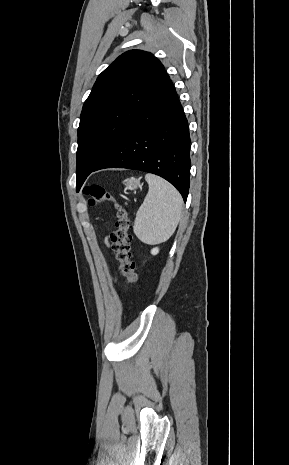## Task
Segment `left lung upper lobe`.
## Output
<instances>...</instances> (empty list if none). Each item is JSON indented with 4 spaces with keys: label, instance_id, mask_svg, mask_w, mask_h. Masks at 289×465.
<instances>
[{
    "label": "left lung upper lobe",
    "instance_id": "obj_1",
    "mask_svg": "<svg viewBox=\"0 0 289 465\" xmlns=\"http://www.w3.org/2000/svg\"><path fill=\"white\" fill-rule=\"evenodd\" d=\"M169 79L161 62L141 50L123 53L98 76L80 117L77 190Z\"/></svg>",
    "mask_w": 289,
    "mask_h": 465
}]
</instances>
